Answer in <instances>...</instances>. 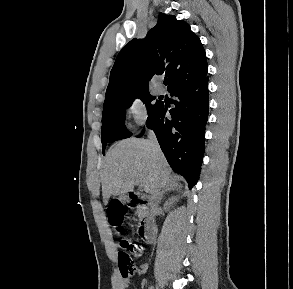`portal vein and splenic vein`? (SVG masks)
<instances>
[{
    "instance_id": "18ae733b",
    "label": "portal vein and splenic vein",
    "mask_w": 293,
    "mask_h": 289,
    "mask_svg": "<svg viewBox=\"0 0 293 289\" xmlns=\"http://www.w3.org/2000/svg\"><path fill=\"white\" fill-rule=\"evenodd\" d=\"M136 184H137V185H139V186H141V184H140V182H139V181H136Z\"/></svg>"
}]
</instances>
